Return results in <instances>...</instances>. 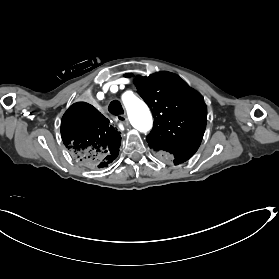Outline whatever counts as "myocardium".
Returning <instances> with one entry per match:
<instances>
[{
    "label": "myocardium",
    "instance_id": "f54148a6",
    "mask_svg": "<svg viewBox=\"0 0 279 279\" xmlns=\"http://www.w3.org/2000/svg\"><path fill=\"white\" fill-rule=\"evenodd\" d=\"M104 88H106V86H104ZM102 97H103L102 93L97 94V98L98 99H102ZM136 99H137V97H136ZM136 99L134 101H136Z\"/></svg>",
    "mask_w": 279,
    "mask_h": 279
}]
</instances>
